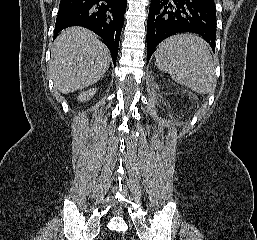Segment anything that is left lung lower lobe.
I'll return each instance as SVG.
<instances>
[{"label": "left lung lower lobe", "mask_w": 257, "mask_h": 240, "mask_svg": "<svg viewBox=\"0 0 257 240\" xmlns=\"http://www.w3.org/2000/svg\"><path fill=\"white\" fill-rule=\"evenodd\" d=\"M202 36L215 50L214 0H151L147 22V61L164 39L175 33Z\"/></svg>", "instance_id": "obj_1"}]
</instances>
